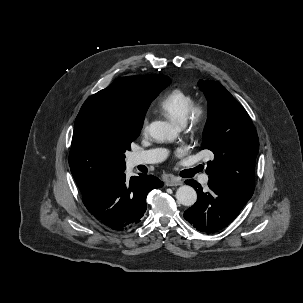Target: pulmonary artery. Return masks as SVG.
<instances>
[{"label":"pulmonary artery","mask_w":303,"mask_h":303,"mask_svg":"<svg viewBox=\"0 0 303 303\" xmlns=\"http://www.w3.org/2000/svg\"><path fill=\"white\" fill-rule=\"evenodd\" d=\"M166 156V151L163 149H152L143 152L133 153L130 157V162L132 165H141V164H152L162 161ZM209 181L208 175H202L200 182L203 185H207Z\"/></svg>","instance_id":"1"}]
</instances>
